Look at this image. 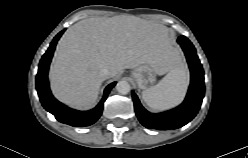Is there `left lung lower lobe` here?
Here are the masks:
<instances>
[{"mask_svg":"<svg viewBox=\"0 0 248 158\" xmlns=\"http://www.w3.org/2000/svg\"><path fill=\"white\" fill-rule=\"evenodd\" d=\"M178 43L182 47L190 68L191 82L184 102L177 108L153 114L143 108L138 97L132 92L136 115L146 128L167 130L176 129L186 125L198 113L204 97V72L202 65L196 54L193 44L185 36L178 38Z\"/></svg>","mask_w":248,"mask_h":158,"instance_id":"left-lung-lower-lobe-1","label":"left lung lower lobe"}]
</instances>
